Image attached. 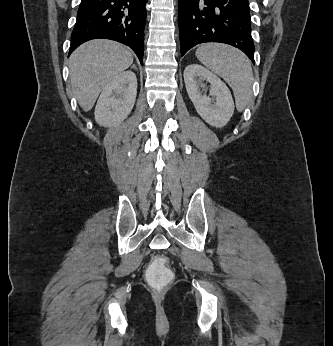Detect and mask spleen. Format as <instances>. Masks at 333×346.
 Segmentation results:
<instances>
[{
    "instance_id": "3e777b00",
    "label": "spleen",
    "mask_w": 333,
    "mask_h": 346,
    "mask_svg": "<svg viewBox=\"0 0 333 346\" xmlns=\"http://www.w3.org/2000/svg\"><path fill=\"white\" fill-rule=\"evenodd\" d=\"M196 57L230 85L236 107L242 111L252 97L253 84V71L246 55L229 45L207 43L196 50Z\"/></svg>"
}]
</instances>
